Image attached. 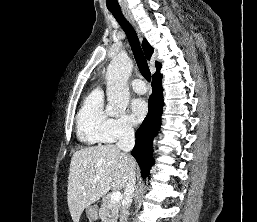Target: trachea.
I'll return each instance as SVG.
<instances>
[{
  "mask_svg": "<svg viewBox=\"0 0 257 222\" xmlns=\"http://www.w3.org/2000/svg\"><path fill=\"white\" fill-rule=\"evenodd\" d=\"M114 18L117 20L119 25L122 27L124 30L131 49L133 51L134 58L136 60V63L138 65L139 71L142 74V76L147 80H151V72L147 64V60L144 56V53L141 49L140 43L138 36L136 34V31L132 27V25L129 23V21L124 17L123 13L121 10H110Z\"/></svg>",
  "mask_w": 257,
  "mask_h": 222,
  "instance_id": "3493384b",
  "label": "trachea"
}]
</instances>
